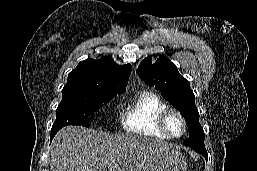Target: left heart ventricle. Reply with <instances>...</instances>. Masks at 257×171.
I'll list each match as a JSON object with an SVG mask.
<instances>
[{
  "label": "left heart ventricle",
  "instance_id": "1",
  "mask_svg": "<svg viewBox=\"0 0 257 171\" xmlns=\"http://www.w3.org/2000/svg\"><path fill=\"white\" fill-rule=\"evenodd\" d=\"M168 127L169 130L174 134V135H179L182 132V123L180 119L176 115H171L168 119Z\"/></svg>",
  "mask_w": 257,
  "mask_h": 171
}]
</instances>
